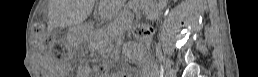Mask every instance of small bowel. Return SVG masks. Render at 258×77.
I'll return each instance as SVG.
<instances>
[{
	"instance_id": "obj_1",
	"label": "small bowel",
	"mask_w": 258,
	"mask_h": 77,
	"mask_svg": "<svg viewBox=\"0 0 258 77\" xmlns=\"http://www.w3.org/2000/svg\"><path fill=\"white\" fill-rule=\"evenodd\" d=\"M139 49L138 48H136V51H138ZM150 69H151V65L148 63V62H146V63H144L143 64V70H144V72H149L150 71Z\"/></svg>"
}]
</instances>
